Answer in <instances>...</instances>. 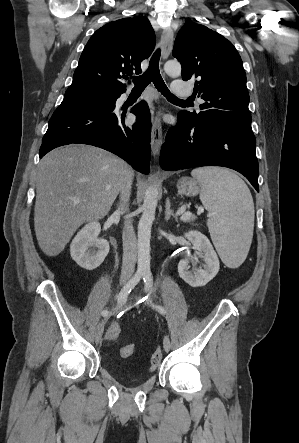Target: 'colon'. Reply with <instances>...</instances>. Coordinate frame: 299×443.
<instances>
[{
	"instance_id": "colon-1",
	"label": "colon",
	"mask_w": 299,
	"mask_h": 443,
	"mask_svg": "<svg viewBox=\"0 0 299 443\" xmlns=\"http://www.w3.org/2000/svg\"><path fill=\"white\" fill-rule=\"evenodd\" d=\"M121 334V327L118 323H112L106 330L105 338L107 340H116ZM136 353V345L131 343L124 345L121 350L120 354L124 358H128L133 356ZM163 360V354L159 348H157L151 355V368L156 369L160 366Z\"/></svg>"
}]
</instances>
